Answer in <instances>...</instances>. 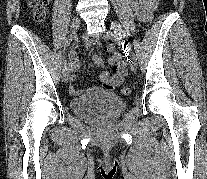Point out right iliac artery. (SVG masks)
<instances>
[{
  "label": "right iliac artery",
  "mask_w": 207,
  "mask_h": 179,
  "mask_svg": "<svg viewBox=\"0 0 207 179\" xmlns=\"http://www.w3.org/2000/svg\"><path fill=\"white\" fill-rule=\"evenodd\" d=\"M72 40L71 39H67L64 43V50L66 49V47H68L70 45V42ZM67 69V65H66V59L65 57H63V70Z\"/></svg>",
  "instance_id": "1"
}]
</instances>
